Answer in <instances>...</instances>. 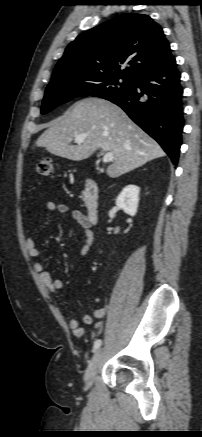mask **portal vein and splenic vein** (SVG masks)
Returning <instances> with one entry per match:
<instances>
[{
  "label": "portal vein and splenic vein",
  "instance_id": "portal-vein-and-splenic-vein-1",
  "mask_svg": "<svg viewBox=\"0 0 202 437\" xmlns=\"http://www.w3.org/2000/svg\"><path fill=\"white\" fill-rule=\"evenodd\" d=\"M85 135L81 134V135H77L75 137V142L80 144L83 143L85 140ZM114 159V154L112 152H106L103 156V162L104 163H108L111 162Z\"/></svg>",
  "mask_w": 202,
  "mask_h": 437
}]
</instances>
